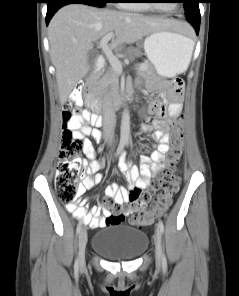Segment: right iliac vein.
I'll return each mask as SVG.
<instances>
[{"label": "right iliac vein", "mask_w": 239, "mask_h": 296, "mask_svg": "<svg viewBox=\"0 0 239 296\" xmlns=\"http://www.w3.org/2000/svg\"><path fill=\"white\" fill-rule=\"evenodd\" d=\"M87 231L82 229L79 235V265L83 267L85 264V250L87 245Z\"/></svg>", "instance_id": "1"}]
</instances>
